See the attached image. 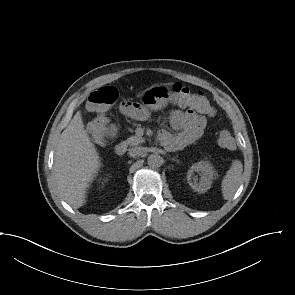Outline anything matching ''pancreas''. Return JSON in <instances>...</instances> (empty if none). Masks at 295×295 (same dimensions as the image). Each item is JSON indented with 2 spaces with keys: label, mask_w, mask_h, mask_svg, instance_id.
<instances>
[{
  "label": "pancreas",
  "mask_w": 295,
  "mask_h": 295,
  "mask_svg": "<svg viewBox=\"0 0 295 295\" xmlns=\"http://www.w3.org/2000/svg\"><path fill=\"white\" fill-rule=\"evenodd\" d=\"M144 141H145L144 138L135 135V136H131L130 138H128L125 141V143L130 146H137V145L143 143Z\"/></svg>",
  "instance_id": "1"
}]
</instances>
